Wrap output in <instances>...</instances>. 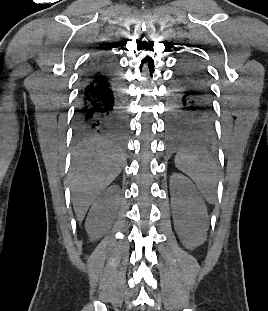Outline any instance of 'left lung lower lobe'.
I'll return each mask as SVG.
<instances>
[{"label": "left lung lower lobe", "mask_w": 268, "mask_h": 311, "mask_svg": "<svg viewBox=\"0 0 268 311\" xmlns=\"http://www.w3.org/2000/svg\"><path fill=\"white\" fill-rule=\"evenodd\" d=\"M167 141H215L211 89L203 64L182 58L171 84Z\"/></svg>", "instance_id": "left-lung-lower-lobe-1"}]
</instances>
